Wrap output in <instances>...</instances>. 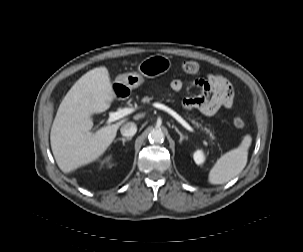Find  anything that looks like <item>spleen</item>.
Segmentation results:
<instances>
[{"instance_id":"obj_1","label":"spleen","mask_w":303,"mask_h":252,"mask_svg":"<svg viewBox=\"0 0 303 252\" xmlns=\"http://www.w3.org/2000/svg\"><path fill=\"white\" fill-rule=\"evenodd\" d=\"M251 143L252 137L247 134L237 148L218 158L209 172V183L213 185L224 184L240 174L247 164L248 149Z\"/></svg>"}]
</instances>
